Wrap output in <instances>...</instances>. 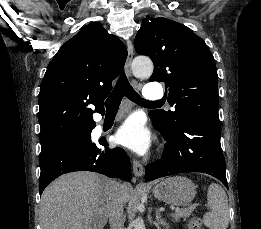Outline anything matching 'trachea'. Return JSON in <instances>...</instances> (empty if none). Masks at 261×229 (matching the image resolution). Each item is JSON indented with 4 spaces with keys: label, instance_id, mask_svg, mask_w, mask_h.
Wrapping results in <instances>:
<instances>
[{
    "label": "trachea",
    "instance_id": "3493384b",
    "mask_svg": "<svg viewBox=\"0 0 261 229\" xmlns=\"http://www.w3.org/2000/svg\"><path fill=\"white\" fill-rule=\"evenodd\" d=\"M123 97H127L139 105L153 104V102L143 99L135 92L124 73L118 79L113 92L105 102L106 111L116 113Z\"/></svg>",
    "mask_w": 261,
    "mask_h": 229
}]
</instances>
